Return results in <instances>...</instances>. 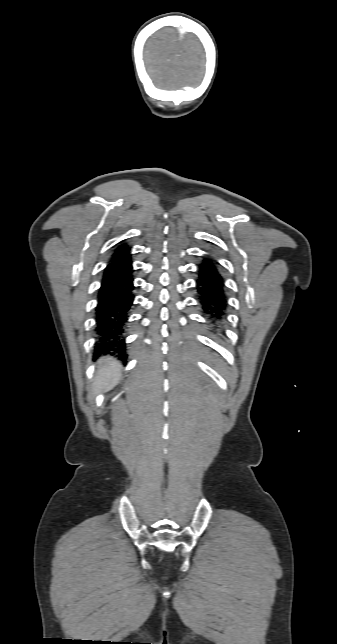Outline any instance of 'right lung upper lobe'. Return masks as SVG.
I'll return each mask as SVG.
<instances>
[{"mask_svg":"<svg viewBox=\"0 0 337 644\" xmlns=\"http://www.w3.org/2000/svg\"><path fill=\"white\" fill-rule=\"evenodd\" d=\"M130 248L126 244L120 245L112 255L111 260H116L122 257L130 256L129 254Z\"/></svg>","mask_w":337,"mask_h":644,"instance_id":"cb5924a9","label":"right lung upper lobe"}]
</instances>
